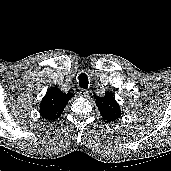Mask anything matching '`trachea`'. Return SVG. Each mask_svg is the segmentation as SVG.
<instances>
[{
    "label": "trachea",
    "instance_id": "1",
    "mask_svg": "<svg viewBox=\"0 0 171 171\" xmlns=\"http://www.w3.org/2000/svg\"><path fill=\"white\" fill-rule=\"evenodd\" d=\"M78 79H79V86L83 89H87L89 85V80L87 75L85 73H81Z\"/></svg>",
    "mask_w": 171,
    "mask_h": 171
}]
</instances>
